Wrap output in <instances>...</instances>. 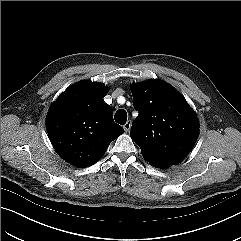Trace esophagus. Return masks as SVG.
Listing matches in <instances>:
<instances>
[{"label":"esophagus","mask_w":241,"mask_h":241,"mask_svg":"<svg viewBox=\"0 0 241 241\" xmlns=\"http://www.w3.org/2000/svg\"><path fill=\"white\" fill-rule=\"evenodd\" d=\"M123 128L126 132H128L131 128V121H127L124 125Z\"/></svg>","instance_id":"esophagus-1"}]
</instances>
